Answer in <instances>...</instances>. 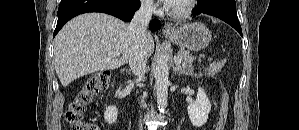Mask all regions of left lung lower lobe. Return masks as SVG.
<instances>
[{
  "mask_svg": "<svg viewBox=\"0 0 299 130\" xmlns=\"http://www.w3.org/2000/svg\"><path fill=\"white\" fill-rule=\"evenodd\" d=\"M198 2V7L192 11L194 16L205 13L217 17L231 25L242 36L235 0H200Z\"/></svg>",
  "mask_w": 299,
  "mask_h": 130,
  "instance_id": "0a47b994",
  "label": "left lung lower lobe"
}]
</instances>
